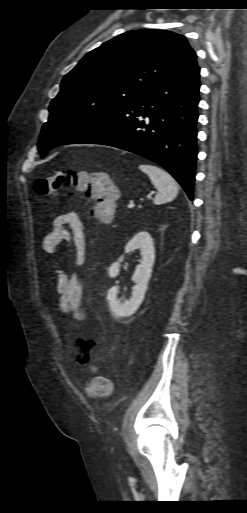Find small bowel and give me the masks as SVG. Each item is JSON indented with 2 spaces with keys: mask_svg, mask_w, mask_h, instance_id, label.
Masks as SVG:
<instances>
[{
  "mask_svg": "<svg viewBox=\"0 0 247 513\" xmlns=\"http://www.w3.org/2000/svg\"><path fill=\"white\" fill-rule=\"evenodd\" d=\"M73 246V262L76 266H82L86 262V238L84 225L75 212H67L54 218L49 231L44 235L41 247L47 254L56 253L65 244ZM57 274L55 285L56 294L59 296V309L63 314H71L76 320L85 321V313L82 309L83 280L77 274H70L55 261ZM84 347L91 348V342L84 343Z\"/></svg>",
  "mask_w": 247,
  "mask_h": 513,
  "instance_id": "c3829d8e",
  "label": "small bowel"
}]
</instances>
